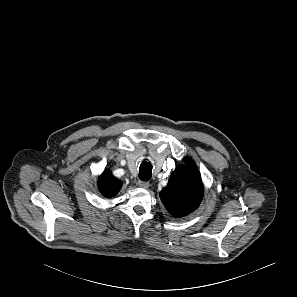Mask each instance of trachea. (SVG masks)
<instances>
[{
	"instance_id": "obj_1",
	"label": "trachea",
	"mask_w": 297,
	"mask_h": 297,
	"mask_svg": "<svg viewBox=\"0 0 297 297\" xmlns=\"http://www.w3.org/2000/svg\"><path fill=\"white\" fill-rule=\"evenodd\" d=\"M152 165L150 162L143 161L139 168V178L142 181H148L151 178Z\"/></svg>"
}]
</instances>
